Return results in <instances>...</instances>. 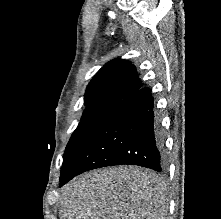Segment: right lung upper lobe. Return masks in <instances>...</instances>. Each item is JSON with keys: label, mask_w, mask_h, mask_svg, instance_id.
<instances>
[{"label": "right lung upper lobe", "mask_w": 221, "mask_h": 219, "mask_svg": "<svg viewBox=\"0 0 221 219\" xmlns=\"http://www.w3.org/2000/svg\"><path fill=\"white\" fill-rule=\"evenodd\" d=\"M142 87L134 66L122 59H114L103 66L89 83L85 93V104L124 98Z\"/></svg>", "instance_id": "obj_1"}]
</instances>
